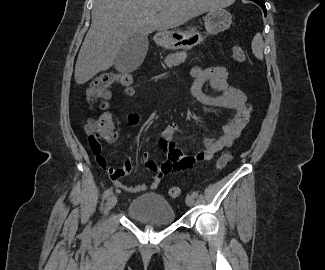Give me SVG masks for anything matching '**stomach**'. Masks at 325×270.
I'll return each mask as SVG.
<instances>
[{"mask_svg": "<svg viewBox=\"0 0 325 270\" xmlns=\"http://www.w3.org/2000/svg\"><path fill=\"white\" fill-rule=\"evenodd\" d=\"M205 28L209 35H216L227 30L232 23L231 14L225 9L210 10L204 18ZM204 40L195 30L176 34H164L161 44L170 49L191 48Z\"/></svg>", "mask_w": 325, "mask_h": 270, "instance_id": "obj_1", "label": "stomach"}]
</instances>
